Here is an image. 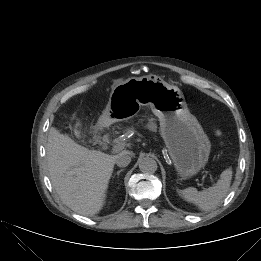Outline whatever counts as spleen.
<instances>
[{"label":"spleen","instance_id":"spleen-1","mask_svg":"<svg viewBox=\"0 0 261 261\" xmlns=\"http://www.w3.org/2000/svg\"><path fill=\"white\" fill-rule=\"evenodd\" d=\"M232 179V170L226 169L217 183L203 191H197L194 187H189L181 192V196L190 203L195 204L200 210L210 211L215 209L229 191Z\"/></svg>","mask_w":261,"mask_h":261}]
</instances>
